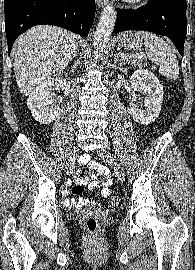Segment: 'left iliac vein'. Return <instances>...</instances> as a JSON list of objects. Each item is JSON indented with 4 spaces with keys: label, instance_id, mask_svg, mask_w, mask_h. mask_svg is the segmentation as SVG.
Segmentation results:
<instances>
[{
    "label": "left iliac vein",
    "instance_id": "obj_1",
    "mask_svg": "<svg viewBox=\"0 0 195 270\" xmlns=\"http://www.w3.org/2000/svg\"><path fill=\"white\" fill-rule=\"evenodd\" d=\"M98 154L104 160H106L107 163H109L111 165V167L114 170L115 176L119 180L122 181L124 179V176H125L124 171H123L122 167L120 166V164L118 163V161L116 160V158L110 153V151L103 147V148L98 150Z\"/></svg>",
    "mask_w": 195,
    "mask_h": 270
}]
</instances>
